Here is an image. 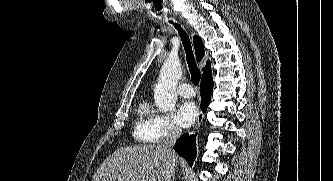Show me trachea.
I'll use <instances>...</instances> for the list:
<instances>
[{"label": "trachea", "instance_id": "obj_1", "mask_svg": "<svg viewBox=\"0 0 333 181\" xmlns=\"http://www.w3.org/2000/svg\"><path fill=\"white\" fill-rule=\"evenodd\" d=\"M174 27L178 30V33L181 37V40H182V43H183V46L185 49L187 63H188V67L190 70L192 81H193L194 85H198L201 75H200V70L198 69V67L195 63L190 39H189L187 33L180 27L179 24L174 23Z\"/></svg>", "mask_w": 333, "mask_h": 181}]
</instances>
